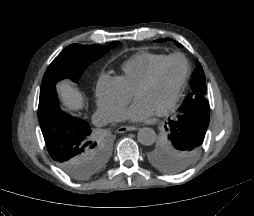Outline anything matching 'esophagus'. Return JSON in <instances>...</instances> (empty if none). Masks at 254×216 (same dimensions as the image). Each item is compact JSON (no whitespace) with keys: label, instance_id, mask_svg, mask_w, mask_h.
<instances>
[{"label":"esophagus","instance_id":"1","mask_svg":"<svg viewBox=\"0 0 254 216\" xmlns=\"http://www.w3.org/2000/svg\"><path fill=\"white\" fill-rule=\"evenodd\" d=\"M138 128L135 127V126H120L118 129H117V132L118 133H125L127 131H134V130H137Z\"/></svg>","mask_w":254,"mask_h":216}]
</instances>
